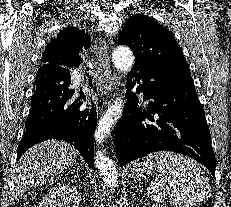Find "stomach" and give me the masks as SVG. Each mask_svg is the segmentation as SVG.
Returning <instances> with one entry per match:
<instances>
[{"mask_svg": "<svg viewBox=\"0 0 231 207\" xmlns=\"http://www.w3.org/2000/svg\"><path fill=\"white\" fill-rule=\"evenodd\" d=\"M130 172L132 176L139 177V176H142L146 172V169L145 167H142L140 164H134L130 168Z\"/></svg>", "mask_w": 231, "mask_h": 207, "instance_id": "obj_1", "label": "stomach"}]
</instances>
